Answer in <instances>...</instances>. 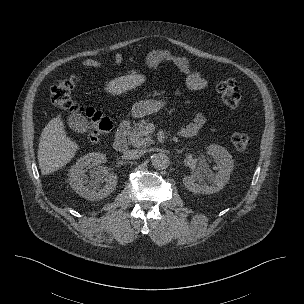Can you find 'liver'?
<instances>
[{"instance_id": "liver-1", "label": "liver", "mask_w": 304, "mask_h": 304, "mask_svg": "<svg viewBox=\"0 0 304 304\" xmlns=\"http://www.w3.org/2000/svg\"><path fill=\"white\" fill-rule=\"evenodd\" d=\"M146 77L140 74H130L113 79L105 90L112 95H120L123 92L140 86ZM79 149L71 138L66 135L61 114L48 122L41 133L38 162L42 175H48L69 163Z\"/></svg>"}]
</instances>
